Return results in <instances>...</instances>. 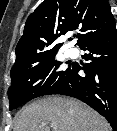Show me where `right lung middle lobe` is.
<instances>
[{
  "label": "right lung middle lobe",
  "mask_w": 117,
  "mask_h": 131,
  "mask_svg": "<svg viewBox=\"0 0 117 131\" xmlns=\"http://www.w3.org/2000/svg\"><path fill=\"white\" fill-rule=\"evenodd\" d=\"M56 53L11 70V86L8 89L10 110L34 98L52 94L61 87L69 67L66 69L60 67L62 62L54 59Z\"/></svg>",
  "instance_id": "right-lung-middle-lobe-1"
}]
</instances>
